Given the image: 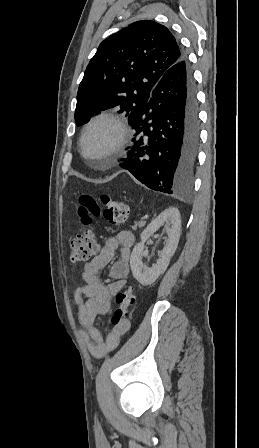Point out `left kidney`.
<instances>
[{
  "instance_id": "obj_1",
  "label": "left kidney",
  "mask_w": 259,
  "mask_h": 448,
  "mask_svg": "<svg viewBox=\"0 0 259 448\" xmlns=\"http://www.w3.org/2000/svg\"><path fill=\"white\" fill-rule=\"evenodd\" d=\"M166 222V230L168 234V240L166 246H164L157 264L152 268H146L142 262V256L144 252V244L146 240H149L150 236L157 232L163 224ZM181 230V216L178 208L170 206L168 210H164L156 220H153L146 230L141 234V242L136 244L132 250L130 258V266L132 274L139 284L142 286H152L156 282L158 276L164 274L167 270L171 256H174V252L178 246Z\"/></svg>"
}]
</instances>
